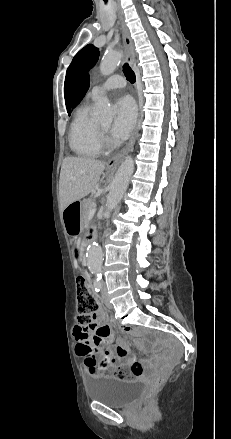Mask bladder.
I'll use <instances>...</instances> for the list:
<instances>
[{"instance_id": "1", "label": "bladder", "mask_w": 231, "mask_h": 439, "mask_svg": "<svg viewBox=\"0 0 231 439\" xmlns=\"http://www.w3.org/2000/svg\"><path fill=\"white\" fill-rule=\"evenodd\" d=\"M87 395L97 402L120 407L138 397L143 384L137 380H117L102 372L94 373L87 381Z\"/></svg>"}]
</instances>
